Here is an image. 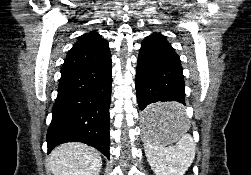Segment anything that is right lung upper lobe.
<instances>
[{"label": "right lung upper lobe", "instance_id": "cb5924a9", "mask_svg": "<svg viewBox=\"0 0 251 175\" xmlns=\"http://www.w3.org/2000/svg\"><path fill=\"white\" fill-rule=\"evenodd\" d=\"M109 55L108 42L96 31H91L78 37L68 52L62 69L101 62Z\"/></svg>", "mask_w": 251, "mask_h": 175}]
</instances>
